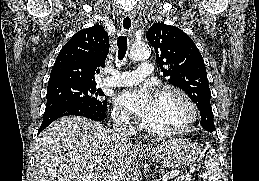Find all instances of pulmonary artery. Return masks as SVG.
<instances>
[{"instance_id": "obj_1", "label": "pulmonary artery", "mask_w": 259, "mask_h": 181, "mask_svg": "<svg viewBox=\"0 0 259 181\" xmlns=\"http://www.w3.org/2000/svg\"><path fill=\"white\" fill-rule=\"evenodd\" d=\"M153 68L150 62H142L138 71H114L112 75L103 79L106 86H128L141 82L152 74Z\"/></svg>"}]
</instances>
